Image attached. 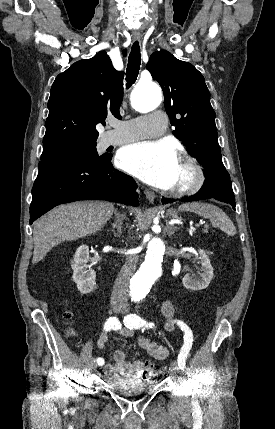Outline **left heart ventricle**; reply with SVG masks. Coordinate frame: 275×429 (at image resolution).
<instances>
[{
  "label": "left heart ventricle",
  "mask_w": 275,
  "mask_h": 429,
  "mask_svg": "<svg viewBox=\"0 0 275 429\" xmlns=\"http://www.w3.org/2000/svg\"><path fill=\"white\" fill-rule=\"evenodd\" d=\"M189 179H190L189 170L179 161L173 187L182 186L186 184L189 181Z\"/></svg>",
  "instance_id": "obj_1"
}]
</instances>
